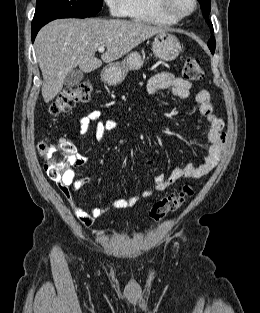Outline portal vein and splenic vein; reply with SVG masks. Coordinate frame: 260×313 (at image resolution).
<instances>
[{
	"label": "portal vein and splenic vein",
	"mask_w": 260,
	"mask_h": 313,
	"mask_svg": "<svg viewBox=\"0 0 260 313\" xmlns=\"http://www.w3.org/2000/svg\"><path fill=\"white\" fill-rule=\"evenodd\" d=\"M104 50H105V47H104V46H99V47H98V51H99V52H104Z\"/></svg>",
	"instance_id": "1"
}]
</instances>
